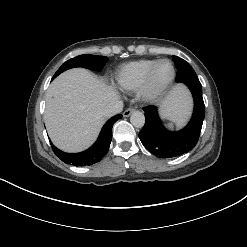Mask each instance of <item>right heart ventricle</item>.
I'll return each mask as SVG.
<instances>
[{
    "instance_id": "obj_1",
    "label": "right heart ventricle",
    "mask_w": 247,
    "mask_h": 247,
    "mask_svg": "<svg viewBox=\"0 0 247 247\" xmlns=\"http://www.w3.org/2000/svg\"><path fill=\"white\" fill-rule=\"evenodd\" d=\"M156 59H139L123 64L115 74V84L123 91H136L147 71Z\"/></svg>"
}]
</instances>
